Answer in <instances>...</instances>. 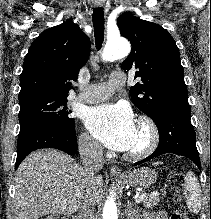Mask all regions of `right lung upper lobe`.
<instances>
[{"label":"right lung upper lobe","instance_id":"right-lung-upper-lobe-1","mask_svg":"<svg viewBox=\"0 0 211 219\" xmlns=\"http://www.w3.org/2000/svg\"><path fill=\"white\" fill-rule=\"evenodd\" d=\"M90 39L77 24L43 31L31 44L20 76L19 101L36 97H67L90 53Z\"/></svg>","mask_w":211,"mask_h":219}]
</instances>
